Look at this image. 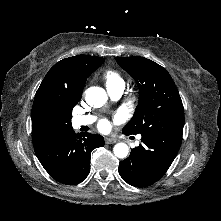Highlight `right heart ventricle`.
<instances>
[{
    "label": "right heart ventricle",
    "mask_w": 221,
    "mask_h": 221,
    "mask_svg": "<svg viewBox=\"0 0 221 221\" xmlns=\"http://www.w3.org/2000/svg\"><path fill=\"white\" fill-rule=\"evenodd\" d=\"M106 86L112 87L116 85H124V80L119 72L116 70H107L103 74Z\"/></svg>",
    "instance_id": "right-heart-ventricle-1"
}]
</instances>
